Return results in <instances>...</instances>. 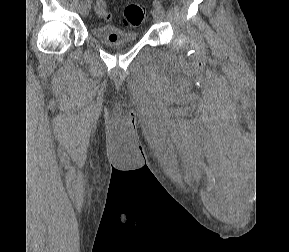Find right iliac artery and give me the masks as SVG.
Listing matches in <instances>:
<instances>
[{"label": "right iliac artery", "instance_id": "82829eb1", "mask_svg": "<svg viewBox=\"0 0 289 252\" xmlns=\"http://www.w3.org/2000/svg\"><path fill=\"white\" fill-rule=\"evenodd\" d=\"M92 0H86V3H88L89 5L91 4Z\"/></svg>", "mask_w": 289, "mask_h": 252}]
</instances>
